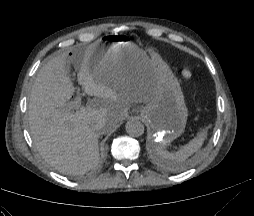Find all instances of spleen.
Wrapping results in <instances>:
<instances>
[{
    "instance_id": "1",
    "label": "spleen",
    "mask_w": 254,
    "mask_h": 216,
    "mask_svg": "<svg viewBox=\"0 0 254 216\" xmlns=\"http://www.w3.org/2000/svg\"><path fill=\"white\" fill-rule=\"evenodd\" d=\"M206 136V131L198 133L195 138L189 141L186 145L180 147V149L174 153H170L159 147H155L153 151L157 157V160L162 165L169 170H175L180 163L184 162L188 157L193 155L201 148Z\"/></svg>"
}]
</instances>
